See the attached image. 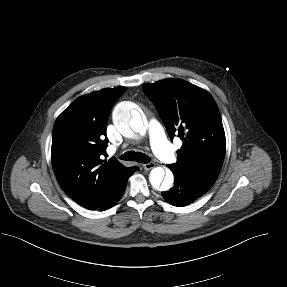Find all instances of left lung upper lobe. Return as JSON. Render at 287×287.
<instances>
[{"label":"left lung upper lobe","mask_w":287,"mask_h":287,"mask_svg":"<svg viewBox=\"0 0 287 287\" xmlns=\"http://www.w3.org/2000/svg\"><path fill=\"white\" fill-rule=\"evenodd\" d=\"M173 139L184 141L177 162L168 167L198 188L208 191L221 170L226 141L222 119L213 97L180 79H165L143 86Z\"/></svg>","instance_id":"1"}]
</instances>
